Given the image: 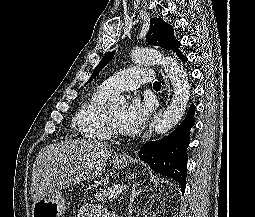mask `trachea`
<instances>
[{
  "label": "trachea",
  "mask_w": 255,
  "mask_h": 217,
  "mask_svg": "<svg viewBox=\"0 0 255 217\" xmlns=\"http://www.w3.org/2000/svg\"><path fill=\"white\" fill-rule=\"evenodd\" d=\"M153 88L154 89H160L161 88V83L158 82V81H155L154 84H153Z\"/></svg>",
  "instance_id": "obj_1"
}]
</instances>
